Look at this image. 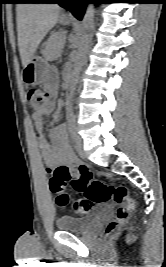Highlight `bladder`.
Listing matches in <instances>:
<instances>
[{"instance_id":"31cf9c89","label":"bladder","mask_w":166,"mask_h":267,"mask_svg":"<svg viewBox=\"0 0 166 267\" xmlns=\"http://www.w3.org/2000/svg\"><path fill=\"white\" fill-rule=\"evenodd\" d=\"M95 223L94 216L73 217L61 216L56 220V226L60 231L83 232Z\"/></svg>"}]
</instances>
